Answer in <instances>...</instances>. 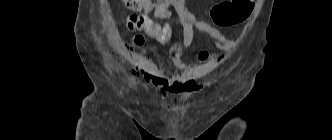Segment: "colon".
Wrapping results in <instances>:
<instances>
[{
  "instance_id": "colon-1",
  "label": "colon",
  "mask_w": 332,
  "mask_h": 140,
  "mask_svg": "<svg viewBox=\"0 0 332 140\" xmlns=\"http://www.w3.org/2000/svg\"><path fill=\"white\" fill-rule=\"evenodd\" d=\"M134 12L152 7L159 0H122ZM255 0H226L211 8L210 16L214 24L220 27L233 26L244 22L251 14ZM127 28L131 31H144L150 37L169 38L174 35V27L170 23H158L147 14H132L127 19ZM136 45L143 43L141 36L134 39Z\"/></svg>"
}]
</instances>
